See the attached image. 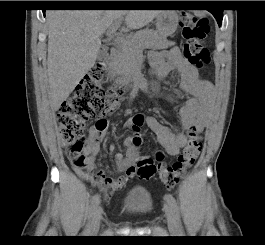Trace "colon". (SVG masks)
<instances>
[{
    "label": "colon",
    "instance_id": "obj_1",
    "mask_svg": "<svg viewBox=\"0 0 265 245\" xmlns=\"http://www.w3.org/2000/svg\"><path fill=\"white\" fill-rule=\"evenodd\" d=\"M182 33L183 53L189 63L198 67L209 65V50L203 43L208 33L207 20L184 15ZM104 78L105 67L102 63H98L62 102L57 111L59 134L65 153L76 167H82L85 164L84 149L88 121L97 115L112 113L117 108L123 94L121 90L106 88ZM143 122L142 114L132 118L131 127L135 132L133 137L135 145H139L143 141L139 134ZM98 126H103V123L99 122ZM201 150V131L193 130L174 162L163 163L164 154L158 152L154 157L142 158L132 170L140 179H152L159 176L165 186L171 189L178 184L187 170L195 163Z\"/></svg>",
    "mask_w": 265,
    "mask_h": 245
}]
</instances>
